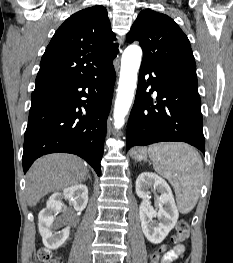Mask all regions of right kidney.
I'll use <instances>...</instances> for the list:
<instances>
[{
	"instance_id": "1",
	"label": "right kidney",
	"mask_w": 233,
	"mask_h": 263,
	"mask_svg": "<svg viewBox=\"0 0 233 263\" xmlns=\"http://www.w3.org/2000/svg\"><path fill=\"white\" fill-rule=\"evenodd\" d=\"M63 199H68L76 211H83L88 203V188L86 185L78 184L65 188L63 193H54L47 201L46 208L38 215L39 232L43 244L51 250L58 249L68 239L70 227L56 231L64 223L57 215L64 207Z\"/></svg>"
}]
</instances>
